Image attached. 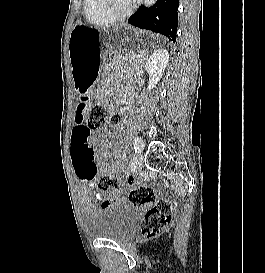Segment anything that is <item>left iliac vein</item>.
<instances>
[{
	"instance_id": "left-iliac-vein-1",
	"label": "left iliac vein",
	"mask_w": 265,
	"mask_h": 273,
	"mask_svg": "<svg viewBox=\"0 0 265 273\" xmlns=\"http://www.w3.org/2000/svg\"><path fill=\"white\" fill-rule=\"evenodd\" d=\"M140 142V150L144 147V142L140 137H136ZM132 163L136 168H141L142 166V156L139 152L135 153L132 158Z\"/></svg>"
}]
</instances>
